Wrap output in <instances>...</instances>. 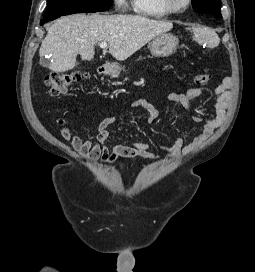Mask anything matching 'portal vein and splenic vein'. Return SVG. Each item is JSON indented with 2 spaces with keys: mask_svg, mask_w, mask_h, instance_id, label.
<instances>
[{
  "mask_svg": "<svg viewBox=\"0 0 255 272\" xmlns=\"http://www.w3.org/2000/svg\"><path fill=\"white\" fill-rule=\"evenodd\" d=\"M99 46L103 49H106L108 47V44L106 42H101Z\"/></svg>",
  "mask_w": 255,
  "mask_h": 272,
  "instance_id": "1",
  "label": "portal vein and splenic vein"
}]
</instances>
